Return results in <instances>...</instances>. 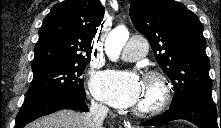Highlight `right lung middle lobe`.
Masks as SVG:
<instances>
[{
	"label": "right lung middle lobe",
	"mask_w": 221,
	"mask_h": 128,
	"mask_svg": "<svg viewBox=\"0 0 221 128\" xmlns=\"http://www.w3.org/2000/svg\"><path fill=\"white\" fill-rule=\"evenodd\" d=\"M87 60L62 64L33 72L25 100L34 99L53 92H69L81 98H86L82 75Z\"/></svg>",
	"instance_id": "right-lung-middle-lobe-1"
}]
</instances>
